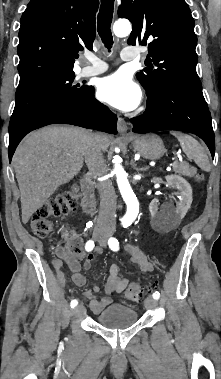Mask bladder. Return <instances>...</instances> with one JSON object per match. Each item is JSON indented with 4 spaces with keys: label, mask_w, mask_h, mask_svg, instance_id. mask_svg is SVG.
<instances>
[{
    "label": "bladder",
    "mask_w": 221,
    "mask_h": 379,
    "mask_svg": "<svg viewBox=\"0 0 221 379\" xmlns=\"http://www.w3.org/2000/svg\"><path fill=\"white\" fill-rule=\"evenodd\" d=\"M137 320V311L121 304H113L96 316V322L109 329L127 328L135 324Z\"/></svg>",
    "instance_id": "obj_1"
}]
</instances>
